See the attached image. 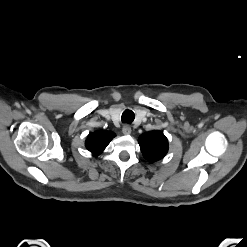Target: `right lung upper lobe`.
<instances>
[{
  "label": "right lung upper lobe",
  "instance_id": "obj_1",
  "mask_svg": "<svg viewBox=\"0 0 247 247\" xmlns=\"http://www.w3.org/2000/svg\"><path fill=\"white\" fill-rule=\"evenodd\" d=\"M115 137V134L110 131H96L90 133L85 142L86 148L93 154H100L110 141Z\"/></svg>",
  "mask_w": 247,
  "mask_h": 247
}]
</instances>
